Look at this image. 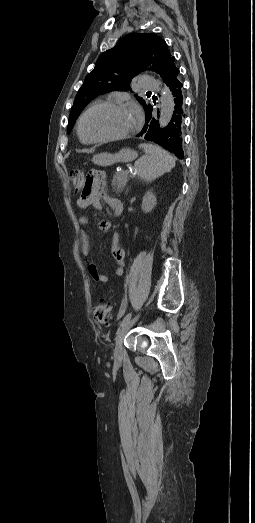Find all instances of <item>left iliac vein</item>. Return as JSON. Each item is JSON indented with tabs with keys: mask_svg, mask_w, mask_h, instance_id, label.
I'll use <instances>...</instances> for the list:
<instances>
[{
	"mask_svg": "<svg viewBox=\"0 0 255 523\" xmlns=\"http://www.w3.org/2000/svg\"><path fill=\"white\" fill-rule=\"evenodd\" d=\"M139 319V315L133 318L132 320H129L117 334L116 341H115V358L121 359L122 358V345L123 340L129 329L133 326V324Z\"/></svg>",
	"mask_w": 255,
	"mask_h": 523,
	"instance_id": "left-iliac-vein-1",
	"label": "left iliac vein"
}]
</instances>
